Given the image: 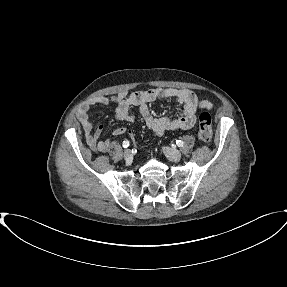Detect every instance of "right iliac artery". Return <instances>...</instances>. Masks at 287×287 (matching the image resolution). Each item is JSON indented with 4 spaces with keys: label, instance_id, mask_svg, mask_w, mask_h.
Returning a JSON list of instances; mask_svg holds the SVG:
<instances>
[{
    "label": "right iliac artery",
    "instance_id": "obj_1",
    "mask_svg": "<svg viewBox=\"0 0 287 287\" xmlns=\"http://www.w3.org/2000/svg\"><path fill=\"white\" fill-rule=\"evenodd\" d=\"M129 145H130V142H129L128 140L123 141L122 146H123L124 148H127Z\"/></svg>",
    "mask_w": 287,
    "mask_h": 287
}]
</instances>
